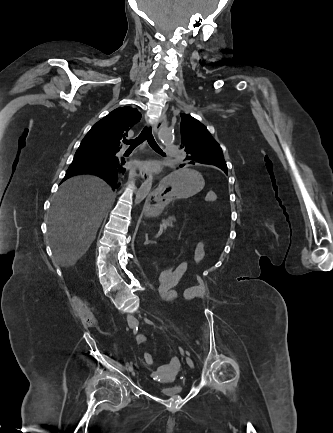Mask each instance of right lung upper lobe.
<instances>
[{"label": "right lung upper lobe", "instance_id": "right-lung-upper-lobe-1", "mask_svg": "<svg viewBox=\"0 0 333 433\" xmlns=\"http://www.w3.org/2000/svg\"><path fill=\"white\" fill-rule=\"evenodd\" d=\"M140 118L141 114L135 108H117L94 124L83 141L86 140L96 149L117 153L120 143Z\"/></svg>", "mask_w": 333, "mask_h": 433}]
</instances>
